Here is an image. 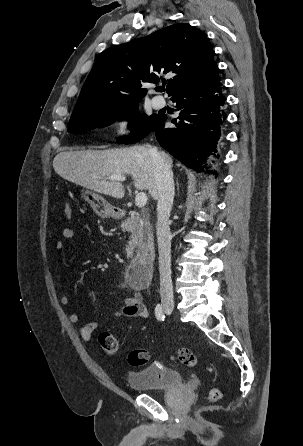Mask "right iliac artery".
I'll use <instances>...</instances> for the list:
<instances>
[{"mask_svg": "<svg viewBox=\"0 0 303 446\" xmlns=\"http://www.w3.org/2000/svg\"><path fill=\"white\" fill-rule=\"evenodd\" d=\"M155 316L159 321H164L165 319V314H164V310L161 304H157L156 308H155Z\"/></svg>", "mask_w": 303, "mask_h": 446, "instance_id": "right-iliac-artery-1", "label": "right iliac artery"}]
</instances>
